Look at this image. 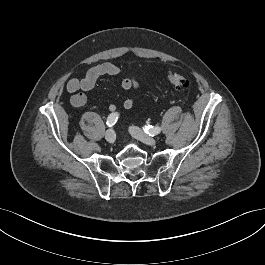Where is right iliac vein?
Returning a JSON list of instances; mask_svg holds the SVG:
<instances>
[{"mask_svg":"<svg viewBox=\"0 0 265 265\" xmlns=\"http://www.w3.org/2000/svg\"><path fill=\"white\" fill-rule=\"evenodd\" d=\"M105 139L109 142V143H114L115 139H116V134L115 131L113 129H108L105 133Z\"/></svg>","mask_w":265,"mask_h":265,"instance_id":"1","label":"right iliac vein"}]
</instances>
